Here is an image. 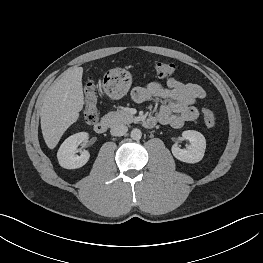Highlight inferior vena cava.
Wrapping results in <instances>:
<instances>
[{
    "label": "inferior vena cava",
    "mask_w": 263,
    "mask_h": 263,
    "mask_svg": "<svg viewBox=\"0 0 263 263\" xmlns=\"http://www.w3.org/2000/svg\"><path fill=\"white\" fill-rule=\"evenodd\" d=\"M128 131V128L126 125L124 124H117V125H114L111 130H110V133L111 135L113 136H123L124 134H126Z\"/></svg>",
    "instance_id": "obj_1"
}]
</instances>
